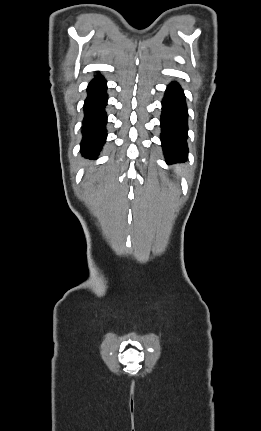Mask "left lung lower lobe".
Returning <instances> with one entry per match:
<instances>
[{"label":"left lung lower lobe","mask_w":261,"mask_h":431,"mask_svg":"<svg viewBox=\"0 0 261 431\" xmlns=\"http://www.w3.org/2000/svg\"><path fill=\"white\" fill-rule=\"evenodd\" d=\"M188 113L181 86L171 83L162 101L161 142L166 162L184 161L188 157Z\"/></svg>","instance_id":"left-lung-lower-lobe-1"}]
</instances>
